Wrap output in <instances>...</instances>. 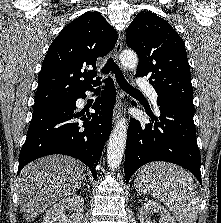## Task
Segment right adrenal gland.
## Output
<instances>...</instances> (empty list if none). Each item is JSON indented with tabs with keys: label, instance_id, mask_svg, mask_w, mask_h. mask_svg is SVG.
Instances as JSON below:
<instances>
[{
	"label": "right adrenal gland",
	"instance_id": "2a0ac1e0",
	"mask_svg": "<svg viewBox=\"0 0 221 223\" xmlns=\"http://www.w3.org/2000/svg\"><path fill=\"white\" fill-rule=\"evenodd\" d=\"M83 186H87V188H90V186H89V184L87 183V181H86V183H85Z\"/></svg>",
	"mask_w": 221,
	"mask_h": 223
}]
</instances>
